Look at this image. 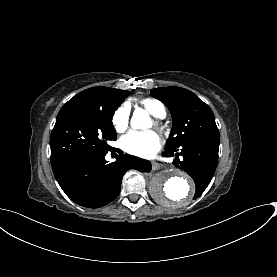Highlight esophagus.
I'll list each match as a JSON object with an SVG mask.
<instances>
[{"mask_svg":"<svg viewBox=\"0 0 277 277\" xmlns=\"http://www.w3.org/2000/svg\"><path fill=\"white\" fill-rule=\"evenodd\" d=\"M151 164L153 170H158L163 166V164L159 160H152Z\"/></svg>","mask_w":277,"mask_h":277,"instance_id":"1","label":"esophagus"}]
</instances>
